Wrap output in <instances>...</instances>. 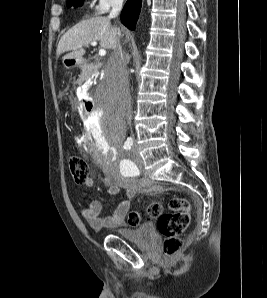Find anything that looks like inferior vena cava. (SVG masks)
<instances>
[{"mask_svg": "<svg viewBox=\"0 0 267 298\" xmlns=\"http://www.w3.org/2000/svg\"><path fill=\"white\" fill-rule=\"evenodd\" d=\"M123 5V0H113L112 10L108 16L109 19L118 17ZM113 53L110 58L109 67L115 71L118 78L117 97L119 104V111L122 116L131 123L132 119V106H131V95L129 89L128 70H127V59L128 55H125L122 51V47L119 41L113 48Z\"/></svg>", "mask_w": 267, "mask_h": 298, "instance_id": "1", "label": "inferior vena cava"}]
</instances>
